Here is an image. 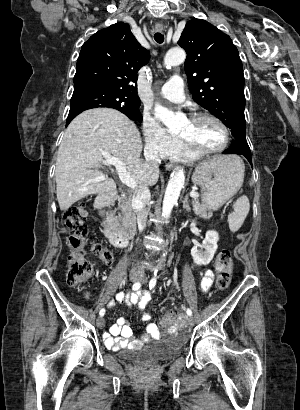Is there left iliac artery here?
Listing matches in <instances>:
<instances>
[{"instance_id":"left-iliac-artery-1","label":"left iliac artery","mask_w":300,"mask_h":410,"mask_svg":"<svg viewBox=\"0 0 300 410\" xmlns=\"http://www.w3.org/2000/svg\"><path fill=\"white\" fill-rule=\"evenodd\" d=\"M156 282H157V273L155 272L154 276L152 277V279L149 282V288L153 289L156 285ZM186 313H187L188 316L192 315V311L189 308L186 310Z\"/></svg>"}]
</instances>
